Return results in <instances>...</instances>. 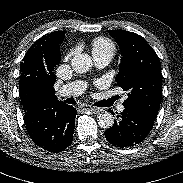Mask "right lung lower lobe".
<instances>
[{
  "label": "right lung lower lobe",
  "instance_id": "right-lung-lower-lobe-1",
  "mask_svg": "<svg viewBox=\"0 0 183 183\" xmlns=\"http://www.w3.org/2000/svg\"><path fill=\"white\" fill-rule=\"evenodd\" d=\"M76 114V109L64 102L41 101L24 110V121L33 142L56 153L72 143Z\"/></svg>",
  "mask_w": 183,
  "mask_h": 183
}]
</instances>
